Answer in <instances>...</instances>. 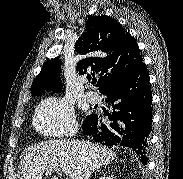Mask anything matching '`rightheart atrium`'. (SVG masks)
Returning a JSON list of instances; mask_svg holds the SVG:
<instances>
[{
	"mask_svg": "<svg viewBox=\"0 0 183 179\" xmlns=\"http://www.w3.org/2000/svg\"><path fill=\"white\" fill-rule=\"evenodd\" d=\"M34 127L43 135L62 137L72 134L77 123L72 102L65 97H50L36 108Z\"/></svg>",
	"mask_w": 183,
	"mask_h": 179,
	"instance_id": "1",
	"label": "right heart atrium"
}]
</instances>
